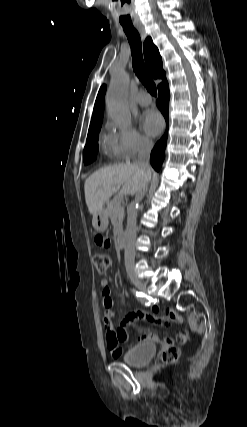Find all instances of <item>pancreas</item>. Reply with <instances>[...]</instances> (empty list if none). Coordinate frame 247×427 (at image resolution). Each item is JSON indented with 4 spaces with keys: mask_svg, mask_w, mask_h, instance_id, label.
<instances>
[{
    "mask_svg": "<svg viewBox=\"0 0 247 427\" xmlns=\"http://www.w3.org/2000/svg\"><path fill=\"white\" fill-rule=\"evenodd\" d=\"M106 213L117 228L122 230V222L125 216V208L122 201L111 200L107 203Z\"/></svg>",
    "mask_w": 247,
    "mask_h": 427,
    "instance_id": "obj_1",
    "label": "pancreas"
}]
</instances>
